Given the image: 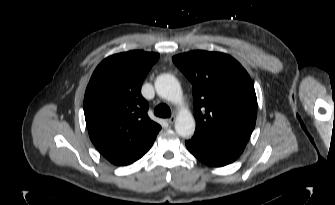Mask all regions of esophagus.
Returning <instances> with one entry per match:
<instances>
[{"instance_id": "obj_1", "label": "esophagus", "mask_w": 335, "mask_h": 205, "mask_svg": "<svg viewBox=\"0 0 335 205\" xmlns=\"http://www.w3.org/2000/svg\"><path fill=\"white\" fill-rule=\"evenodd\" d=\"M175 120H176L175 116H171L170 118L167 119V122L169 124H173L175 122Z\"/></svg>"}]
</instances>
